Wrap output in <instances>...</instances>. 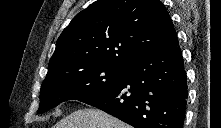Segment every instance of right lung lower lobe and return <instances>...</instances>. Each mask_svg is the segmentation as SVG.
Segmentation results:
<instances>
[{
    "mask_svg": "<svg viewBox=\"0 0 221 128\" xmlns=\"http://www.w3.org/2000/svg\"><path fill=\"white\" fill-rule=\"evenodd\" d=\"M187 75L179 46L143 56L117 83L81 102L135 128H183Z\"/></svg>",
    "mask_w": 221,
    "mask_h": 128,
    "instance_id": "right-lung-lower-lobe-1",
    "label": "right lung lower lobe"
}]
</instances>
